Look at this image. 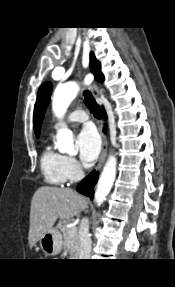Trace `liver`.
Masks as SVG:
<instances>
[{
	"instance_id": "1",
	"label": "liver",
	"mask_w": 175,
	"mask_h": 287,
	"mask_svg": "<svg viewBox=\"0 0 175 287\" xmlns=\"http://www.w3.org/2000/svg\"><path fill=\"white\" fill-rule=\"evenodd\" d=\"M87 207V200L68 188L42 186L31 200L28 241L32 248L58 218L69 221Z\"/></svg>"
}]
</instances>
